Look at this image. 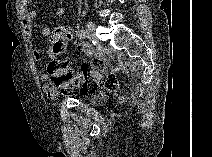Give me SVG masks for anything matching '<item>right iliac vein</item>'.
<instances>
[{
	"label": "right iliac vein",
	"mask_w": 212,
	"mask_h": 157,
	"mask_svg": "<svg viewBox=\"0 0 212 157\" xmlns=\"http://www.w3.org/2000/svg\"><path fill=\"white\" fill-rule=\"evenodd\" d=\"M94 30H95V24L92 21H89L87 23V31L89 36L95 41L96 45L98 47H100L99 41L97 40V38L94 35Z\"/></svg>",
	"instance_id": "right-iliac-vein-1"
}]
</instances>
